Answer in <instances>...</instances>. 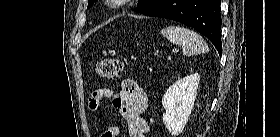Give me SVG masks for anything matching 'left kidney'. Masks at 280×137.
<instances>
[{"mask_svg":"<svg viewBox=\"0 0 280 137\" xmlns=\"http://www.w3.org/2000/svg\"><path fill=\"white\" fill-rule=\"evenodd\" d=\"M200 75L195 73L171 85L162 100L165 127L172 135L180 134L188 122L197 95Z\"/></svg>","mask_w":280,"mask_h":137,"instance_id":"left-kidney-1","label":"left kidney"}]
</instances>
